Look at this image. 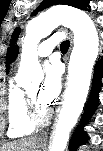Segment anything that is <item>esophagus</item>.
Here are the masks:
<instances>
[{
	"mask_svg": "<svg viewBox=\"0 0 103 151\" xmlns=\"http://www.w3.org/2000/svg\"><path fill=\"white\" fill-rule=\"evenodd\" d=\"M70 36H71V35H70ZM71 37H72V36H71ZM46 138H47L46 133L41 134V135L39 136V138H38V141L42 142V141H44Z\"/></svg>",
	"mask_w": 103,
	"mask_h": 151,
	"instance_id": "1",
	"label": "esophagus"
}]
</instances>
